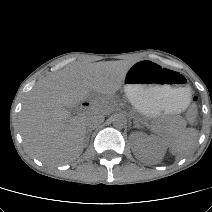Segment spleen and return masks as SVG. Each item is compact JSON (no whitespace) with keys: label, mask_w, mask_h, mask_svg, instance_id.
<instances>
[{"label":"spleen","mask_w":212,"mask_h":212,"mask_svg":"<svg viewBox=\"0 0 212 212\" xmlns=\"http://www.w3.org/2000/svg\"><path fill=\"white\" fill-rule=\"evenodd\" d=\"M197 135V130L193 128L186 129L177 134L169 142L170 152L177 154V156L187 154L192 149L197 139Z\"/></svg>","instance_id":"obj_1"}]
</instances>
